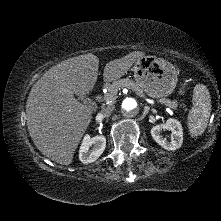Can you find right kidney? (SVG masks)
Wrapping results in <instances>:
<instances>
[{"mask_svg": "<svg viewBox=\"0 0 221 221\" xmlns=\"http://www.w3.org/2000/svg\"><path fill=\"white\" fill-rule=\"evenodd\" d=\"M92 147V149H90ZM106 147V139L102 135H97L93 138L87 134L80 146L79 159L83 164L94 162L103 153Z\"/></svg>", "mask_w": 221, "mask_h": 221, "instance_id": "ca27d5eb", "label": "right kidney"}]
</instances>
